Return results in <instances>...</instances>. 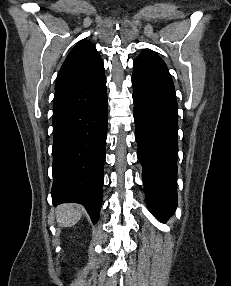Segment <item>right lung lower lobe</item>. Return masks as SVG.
<instances>
[{"label":"right lung lower lobe","mask_w":231,"mask_h":286,"mask_svg":"<svg viewBox=\"0 0 231 286\" xmlns=\"http://www.w3.org/2000/svg\"><path fill=\"white\" fill-rule=\"evenodd\" d=\"M55 91L52 201L84 205L95 224L102 204L108 124L104 68Z\"/></svg>","instance_id":"right-lung-lower-lobe-1"}]
</instances>
